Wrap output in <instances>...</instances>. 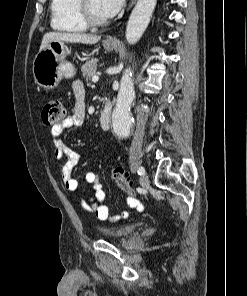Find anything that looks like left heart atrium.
Segmentation results:
<instances>
[{
	"label": "left heart atrium",
	"mask_w": 247,
	"mask_h": 296,
	"mask_svg": "<svg viewBox=\"0 0 247 296\" xmlns=\"http://www.w3.org/2000/svg\"><path fill=\"white\" fill-rule=\"evenodd\" d=\"M124 0H99L101 14L105 18L115 16L123 5Z\"/></svg>",
	"instance_id": "obj_1"
}]
</instances>
